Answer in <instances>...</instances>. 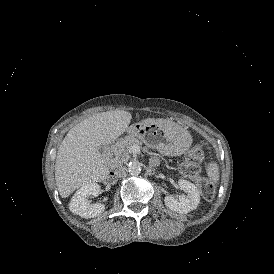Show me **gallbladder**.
I'll return each instance as SVG.
<instances>
[{
  "instance_id": "gallbladder-1",
  "label": "gallbladder",
  "mask_w": 274,
  "mask_h": 274,
  "mask_svg": "<svg viewBox=\"0 0 274 274\" xmlns=\"http://www.w3.org/2000/svg\"><path fill=\"white\" fill-rule=\"evenodd\" d=\"M99 151H100L101 154H103L104 153V147L103 146L100 147Z\"/></svg>"
}]
</instances>
